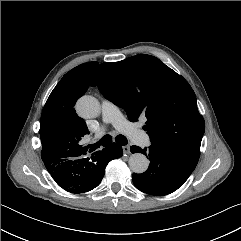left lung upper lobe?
I'll return each mask as SVG.
<instances>
[{
    "label": "left lung upper lobe",
    "mask_w": 241,
    "mask_h": 241,
    "mask_svg": "<svg viewBox=\"0 0 241 241\" xmlns=\"http://www.w3.org/2000/svg\"><path fill=\"white\" fill-rule=\"evenodd\" d=\"M105 98L125 109L130 121L146 116L151 144L199 159L205 123L189 83L159 59L139 54L101 64L92 76Z\"/></svg>",
    "instance_id": "5c2ea615"
}]
</instances>
